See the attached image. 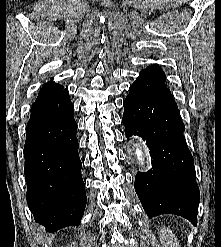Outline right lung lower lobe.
<instances>
[{
	"label": "right lung lower lobe",
	"instance_id": "obj_1",
	"mask_svg": "<svg viewBox=\"0 0 221 247\" xmlns=\"http://www.w3.org/2000/svg\"><path fill=\"white\" fill-rule=\"evenodd\" d=\"M77 124L69 92L32 105L24 146L27 203L35 222L48 232L80 225L86 206Z\"/></svg>",
	"mask_w": 221,
	"mask_h": 247
}]
</instances>
